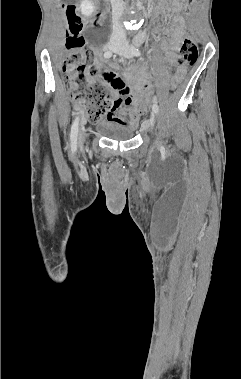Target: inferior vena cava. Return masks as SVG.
<instances>
[{"mask_svg": "<svg viewBox=\"0 0 241 379\" xmlns=\"http://www.w3.org/2000/svg\"><path fill=\"white\" fill-rule=\"evenodd\" d=\"M111 5L113 19L112 39L124 41L126 39V33L119 20L124 13L125 3L123 0H111Z\"/></svg>", "mask_w": 241, "mask_h": 379, "instance_id": "obj_1", "label": "inferior vena cava"}]
</instances>
